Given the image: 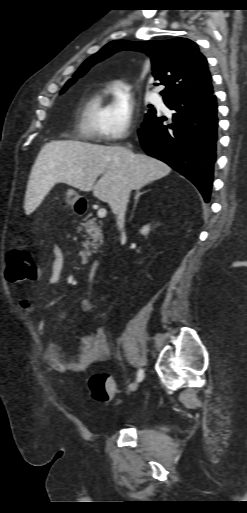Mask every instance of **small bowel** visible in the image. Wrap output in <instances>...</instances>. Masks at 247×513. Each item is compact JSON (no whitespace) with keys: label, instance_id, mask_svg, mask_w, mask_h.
Masks as SVG:
<instances>
[{"label":"small bowel","instance_id":"obj_1","mask_svg":"<svg viewBox=\"0 0 247 513\" xmlns=\"http://www.w3.org/2000/svg\"><path fill=\"white\" fill-rule=\"evenodd\" d=\"M53 259L50 273L47 279V287H53L59 284L63 278L64 253L60 246L53 247ZM21 306L27 312L31 311L28 301H21ZM93 302L84 298L80 303L82 313L90 312L93 309ZM37 330L40 336L48 334V323L46 320H40L37 324ZM111 350L107 334L103 327L95 330H89L82 333L81 344L76 354L69 358L54 343H47L42 352L41 359L45 365L56 372H86L93 364L103 362L110 358Z\"/></svg>","mask_w":247,"mask_h":513}]
</instances>
